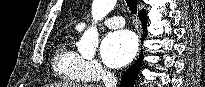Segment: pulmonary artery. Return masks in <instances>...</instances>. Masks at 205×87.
I'll return each mask as SVG.
<instances>
[{
	"mask_svg": "<svg viewBox=\"0 0 205 87\" xmlns=\"http://www.w3.org/2000/svg\"><path fill=\"white\" fill-rule=\"evenodd\" d=\"M103 24L108 28H120L125 25V20L122 16H113V17L106 18L103 21ZM86 26H87V21H81L77 24L76 28L78 30H82L86 28Z\"/></svg>",
	"mask_w": 205,
	"mask_h": 87,
	"instance_id": "e3ab8cb5",
	"label": "pulmonary artery"
}]
</instances>
